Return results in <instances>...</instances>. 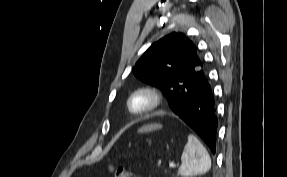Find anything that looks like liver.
I'll return each instance as SVG.
<instances>
[{
  "label": "liver",
  "mask_w": 287,
  "mask_h": 177,
  "mask_svg": "<svg viewBox=\"0 0 287 177\" xmlns=\"http://www.w3.org/2000/svg\"><path fill=\"white\" fill-rule=\"evenodd\" d=\"M161 127H162V125H160V124H151V125H147V126H144V127L140 128L138 130V132L139 133L150 132V131H153V130L160 129Z\"/></svg>",
  "instance_id": "obj_1"
}]
</instances>
